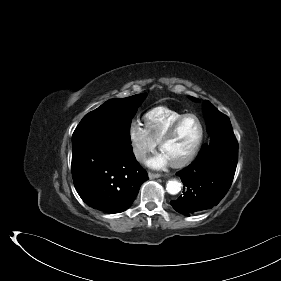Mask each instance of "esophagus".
Returning <instances> with one entry per match:
<instances>
[{"instance_id":"esophagus-1","label":"esophagus","mask_w":281,"mask_h":281,"mask_svg":"<svg viewBox=\"0 0 281 281\" xmlns=\"http://www.w3.org/2000/svg\"><path fill=\"white\" fill-rule=\"evenodd\" d=\"M163 175L162 174H159V173H153V172H149L148 173V177L150 178V179H156V178H160V177H162Z\"/></svg>"}]
</instances>
